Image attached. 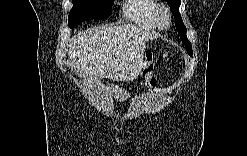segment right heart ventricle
<instances>
[{"mask_svg":"<svg viewBox=\"0 0 247 156\" xmlns=\"http://www.w3.org/2000/svg\"><path fill=\"white\" fill-rule=\"evenodd\" d=\"M159 4L155 0H131L122 8L123 16L134 24L146 28H158L155 22V13Z\"/></svg>","mask_w":247,"mask_h":156,"instance_id":"e07e8e85","label":"right heart ventricle"}]
</instances>
